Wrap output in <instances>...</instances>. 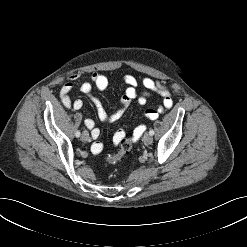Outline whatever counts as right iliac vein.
Returning a JSON list of instances; mask_svg holds the SVG:
<instances>
[{
  "label": "right iliac vein",
  "mask_w": 247,
  "mask_h": 247,
  "mask_svg": "<svg viewBox=\"0 0 247 247\" xmlns=\"http://www.w3.org/2000/svg\"><path fill=\"white\" fill-rule=\"evenodd\" d=\"M88 139H89V133L87 131H83V133L81 135V140L85 142Z\"/></svg>",
  "instance_id": "obj_1"
}]
</instances>
